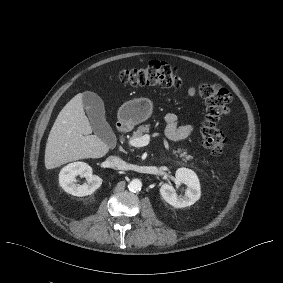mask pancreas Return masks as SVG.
I'll return each instance as SVG.
<instances>
[{
	"label": "pancreas",
	"instance_id": "pancreas-1",
	"mask_svg": "<svg viewBox=\"0 0 283 283\" xmlns=\"http://www.w3.org/2000/svg\"><path fill=\"white\" fill-rule=\"evenodd\" d=\"M150 130V125H141L137 128L135 132H133L132 138H139L141 137L144 133H148ZM173 154H179L180 157L187 158V152H184L182 149H177L173 151Z\"/></svg>",
	"mask_w": 283,
	"mask_h": 283
}]
</instances>
